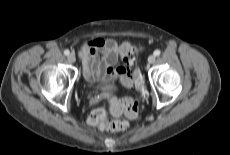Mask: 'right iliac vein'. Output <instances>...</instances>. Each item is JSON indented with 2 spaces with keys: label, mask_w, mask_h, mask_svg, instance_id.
I'll return each instance as SVG.
<instances>
[{
  "label": "right iliac vein",
  "mask_w": 230,
  "mask_h": 155,
  "mask_svg": "<svg viewBox=\"0 0 230 155\" xmlns=\"http://www.w3.org/2000/svg\"><path fill=\"white\" fill-rule=\"evenodd\" d=\"M67 59L70 63H74L76 61V57L73 53L69 54Z\"/></svg>",
  "instance_id": "1"
}]
</instances>
